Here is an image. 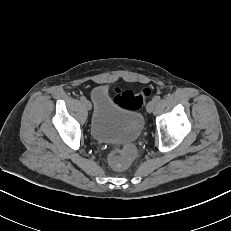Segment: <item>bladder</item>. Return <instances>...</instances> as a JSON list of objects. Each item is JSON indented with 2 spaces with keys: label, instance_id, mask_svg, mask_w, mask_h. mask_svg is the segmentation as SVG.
Instances as JSON below:
<instances>
[{
  "label": "bladder",
  "instance_id": "1",
  "mask_svg": "<svg viewBox=\"0 0 231 231\" xmlns=\"http://www.w3.org/2000/svg\"><path fill=\"white\" fill-rule=\"evenodd\" d=\"M92 98L94 108L90 132L95 140L123 142L139 135L145 123L141 112L118 104L105 85L97 86Z\"/></svg>",
  "mask_w": 231,
  "mask_h": 231
}]
</instances>
